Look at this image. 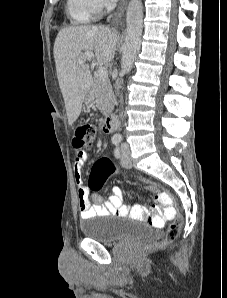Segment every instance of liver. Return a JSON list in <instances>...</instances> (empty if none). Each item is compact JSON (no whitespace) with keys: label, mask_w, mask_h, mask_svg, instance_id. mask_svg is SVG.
I'll return each mask as SVG.
<instances>
[{"label":"liver","mask_w":227,"mask_h":298,"mask_svg":"<svg viewBox=\"0 0 227 298\" xmlns=\"http://www.w3.org/2000/svg\"><path fill=\"white\" fill-rule=\"evenodd\" d=\"M118 39L117 31L93 25L68 27L57 34L53 52L69 125L79 117L93 83L90 65L79 64V57L83 51L94 52L97 64L108 66L114 58Z\"/></svg>","instance_id":"liver-1"}]
</instances>
